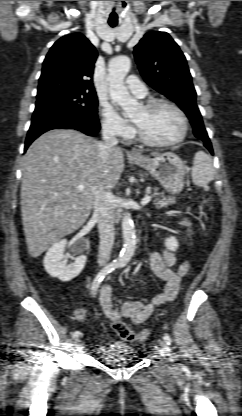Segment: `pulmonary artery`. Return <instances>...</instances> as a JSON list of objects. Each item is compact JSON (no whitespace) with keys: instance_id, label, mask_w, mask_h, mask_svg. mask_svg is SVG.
<instances>
[{"instance_id":"obj_1","label":"pulmonary artery","mask_w":242,"mask_h":416,"mask_svg":"<svg viewBox=\"0 0 242 416\" xmlns=\"http://www.w3.org/2000/svg\"><path fill=\"white\" fill-rule=\"evenodd\" d=\"M125 86L137 97L143 98L148 94L144 83L134 75H131L127 78L125 81Z\"/></svg>"}]
</instances>
